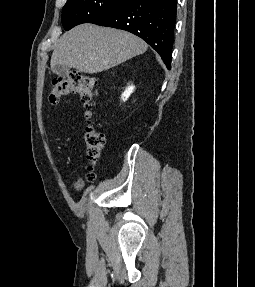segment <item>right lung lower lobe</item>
Instances as JSON below:
<instances>
[{"label":"right lung lower lobe","instance_id":"98d812e1","mask_svg":"<svg viewBox=\"0 0 255 287\" xmlns=\"http://www.w3.org/2000/svg\"><path fill=\"white\" fill-rule=\"evenodd\" d=\"M176 0H126L90 23L129 31L146 41L171 68Z\"/></svg>","mask_w":255,"mask_h":287}]
</instances>
